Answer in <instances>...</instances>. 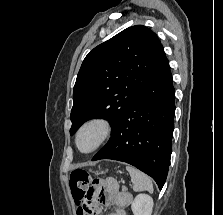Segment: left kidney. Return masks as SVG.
Returning <instances> with one entry per match:
<instances>
[{
	"label": "left kidney",
	"mask_w": 223,
	"mask_h": 215,
	"mask_svg": "<svg viewBox=\"0 0 223 215\" xmlns=\"http://www.w3.org/2000/svg\"><path fill=\"white\" fill-rule=\"evenodd\" d=\"M153 199L147 193H138L134 201H132V211L134 215H151L153 207Z\"/></svg>",
	"instance_id": "obj_1"
}]
</instances>
